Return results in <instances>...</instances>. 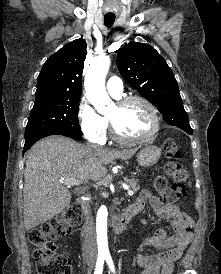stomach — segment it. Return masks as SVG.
Wrapping results in <instances>:
<instances>
[{"label": "stomach", "mask_w": 221, "mask_h": 274, "mask_svg": "<svg viewBox=\"0 0 221 274\" xmlns=\"http://www.w3.org/2000/svg\"><path fill=\"white\" fill-rule=\"evenodd\" d=\"M161 157V149L155 145H146L143 147L138 155L137 161L142 167H149L159 161Z\"/></svg>", "instance_id": "1"}]
</instances>
